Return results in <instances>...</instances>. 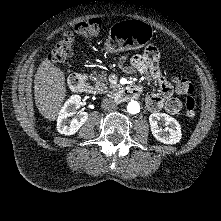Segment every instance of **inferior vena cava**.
<instances>
[{
    "label": "inferior vena cava",
    "instance_id": "inferior-vena-cava-1",
    "mask_svg": "<svg viewBox=\"0 0 221 221\" xmlns=\"http://www.w3.org/2000/svg\"><path fill=\"white\" fill-rule=\"evenodd\" d=\"M103 109L113 110L117 107V104L114 99L104 98L101 103Z\"/></svg>",
    "mask_w": 221,
    "mask_h": 221
}]
</instances>
